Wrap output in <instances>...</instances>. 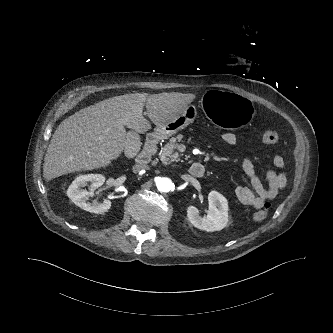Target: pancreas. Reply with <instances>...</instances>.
<instances>
[{"label": "pancreas", "instance_id": "cf45deb5", "mask_svg": "<svg viewBox=\"0 0 333 333\" xmlns=\"http://www.w3.org/2000/svg\"><path fill=\"white\" fill-rule=\"evenodd\" d=\"M178 142H180L179 137H172L169 142L162 148L159 153V158L163 164H170L173 161H178V153L174 150L178 147Z\"/></svg>", "mask_w": 333, "mask_h": 333}]
</instances>
